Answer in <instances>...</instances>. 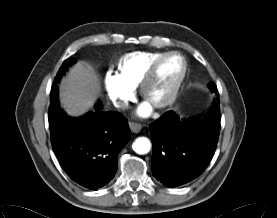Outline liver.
<instances>
[{
	"mask_svg": "<svg viewBox=\"0 0 277 218\" xmlns=\"http://www.w3.org/2000/svg\"><path fill=\"white\" fill-rule=\"evenodd\" d=\"M99 91V79L93 67L79 62L61 81V105L71 116L83 115L93 107Z\"/></svg>",
	"mask_w": 277,
	"mask_h": 218,
	"instance_id": "liver-1",
	"label": "liver"
}]
</instances>
